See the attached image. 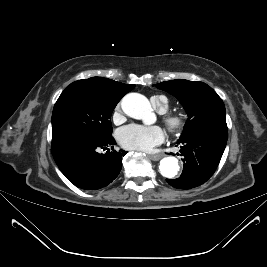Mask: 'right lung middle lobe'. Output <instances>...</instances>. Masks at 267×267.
Listing matches in <instances>:
<instances>
[{"label": "right lung middle lobe", "instance_id": "1", "mask_svg": "<svg viewBox=\"0 0 267 267\" xmlns=\"http://www.w3.org/2000/svg\"><path fill=\"white\" fill-rule=\"evenodd\" d=\"M123 96L90 78L71 83L53 109L52 142L71 136L91 139L112 137L111 114Z\"/></svg>", "mask_w": 267, "mask_h": 267}]
</instances>
